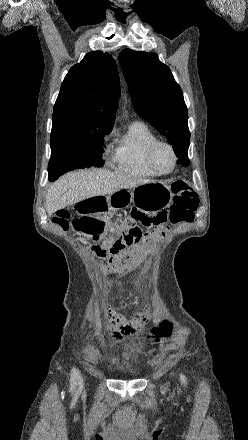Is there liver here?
Returning <instances> with one entry per match:
<instances>
[{
  "mask_svg": "<svg viewBox=\"0 0 248 440\" xmlns=\"http://www.w3.org/2000/svg\"><path fill=\"white\" fill-rule=\"evenodd\" d=\"M130 175L105 169L79 170L65 174L48 189L45 207L48 215L85 199L105 196L121 189L151 183Z\"/></svg>",
  "mask_w": 248,
  "mask_h": 440,
  "instance_id": "obj_1",
  "label": "liver"
}]
</instances>
